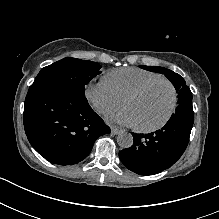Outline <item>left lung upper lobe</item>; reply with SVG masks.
<instances>
[{
	"mask_svg": "<svg viewBox=\"0 0 219 219\" xmlns=\"http://www.w3.org/2000/svg\"><path fill=\"white\" fill-rule=\"evenodd\" d=\"M142 69L164 74L174 85L178 93V107L173 116H194L192 94L185 80L177 73L163 67L140 66Z\"/></svg>",
	"mask_w": 219,
	"mask_h": 219,
	"instance_id": "obj_1",
	"label": "left lung upper lobe"
}]
</instances>
